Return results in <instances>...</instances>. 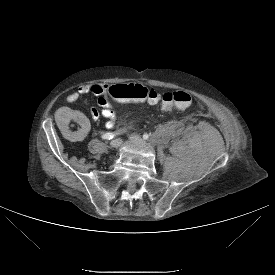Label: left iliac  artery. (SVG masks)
<instances>
[{
  "instance_id": "44dca946",
  "label": "left iliac artery",
  "mask_w": 275,
  "mask_h": 275,
  "mask_svg": "<svg viewBox=\"0 0 275 275\" xmlns=\"http://www.w3.org/2000/svg\"><path fill=\"white\" fill-rule=\"evenodd\" d=\"M148 138H149V135H148L147 133H145V134L143 135V139L147 140Z\"/></svg>"
}]
</instances>
